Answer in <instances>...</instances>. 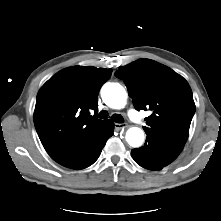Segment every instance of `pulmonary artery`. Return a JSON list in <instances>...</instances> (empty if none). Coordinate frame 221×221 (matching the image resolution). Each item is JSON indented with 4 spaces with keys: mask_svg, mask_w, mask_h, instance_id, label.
I'll list each match as a JSON object with an SVG mask.
<instances>
[{
    "mask_svg": "<svg viewBox=\"0 0 221 221\" xmlns=\"http://www.w3.org/2000/svg\"><path fill=\"white\" fill-rule=\"evenodd\" d=\"M128 116L136 121V122H142L143 121V118L137 113V111H135L134 109H130L128 111Z\"/></svg>",
    "mask_w": 221,
    "mask_h": 221,
    "instance_id": "e3ab8cb5",
    "label": "pulmonary artery"
}]
</instances>
